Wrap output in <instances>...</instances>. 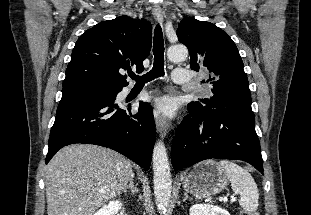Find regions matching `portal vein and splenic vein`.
Returning <instances> with one entry per match:
<instances>
[{"label":"portal vein and splenic vein","instance_id":"portal-vein-and-splenic-vein-1","mask_svg":"<svg viewBox=\"0 0 311 215\" xmlns=\"http://www.w3.org/2000/svg\"><path fill=\"white\" fill-rule=\"evenodd\" d=\"M222 200H223V202H227V198L226 197L222 198ZM235 200H236V197H232L231 198V202H234Z\"/></svg>","mask_w":311,"mask_h":215}]
</instances>
